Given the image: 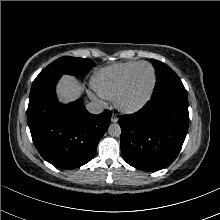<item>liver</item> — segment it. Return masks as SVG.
I'll list each match as a JSON object with an SVG mask.
<instances>
[{"instance_id": "obj_1", "label": "liver", "mask_w": 220, "mask_h": 220, "mask_svg": "<svg viewBox=\"0 0 220 220\" xmlns=\"http://www.w3.org/2000/svg\"><path fill=\"white\" fill-rule=\"evenodd\" d=\"M82 92V86L75 77L64 75L57 85V95L60 102L68 103L76 100Z\"/></svg>"}]
</instances>
